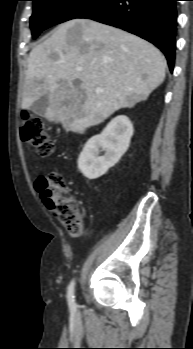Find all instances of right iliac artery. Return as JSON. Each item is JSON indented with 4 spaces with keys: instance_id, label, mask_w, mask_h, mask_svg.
Instances as JSON below:
<instances>
[{
    "instance_id": "right-iliac-artery-1",
    "label": "right iliac artery",
    "mask_w": 193,
    "mask_h": 349,
    "mask_svg": "<svg viewBox=\"0 0 193 349\" xmlns=\"http://www.w3.org/2000/svg\"><path fill=\"white\" fill-rule=\"evenodd\" d=\"M74 287H75V281H71V283L68 286L67 291V300L69 308L72 312L76 311V303H75V296H74Z\"/></svg>"
}]
</instances>
